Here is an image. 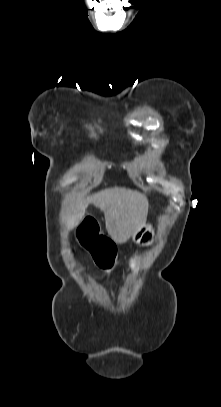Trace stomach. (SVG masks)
Instances as JSON below:
<instances>
[{"label":"stomach","instance_id":"0dacf381","mask_svg":"<svg viewBox=\"0 0 221 407\" xmlns=\"http://www.w3.org/2000/svg\"><path fill=\"white\" fill-rule=\"evenodd\" d=\"M132 240L142 246L151 245L155 240V232L151 224H144L132 236ZM137 258L135 256L129 259L128 265L131 269H135Z\"/></svg>","mask_w":221,"mask_h":407}]
</instances>
